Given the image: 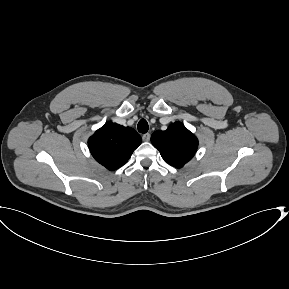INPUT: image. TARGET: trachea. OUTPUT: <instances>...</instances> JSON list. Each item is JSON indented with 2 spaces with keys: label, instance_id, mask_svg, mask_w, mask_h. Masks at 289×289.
<instances>
[{
  "label": "trachea",
  "instance_id": "obj_1",
  "mask_svg": "<svg viewBox=\"0 0 289 289\" xmlns=\"http://www.w3.org/2000/svg\"><path fill=\"white\" fill-rule=\"evenodd\" d=\"M137 128H138V131H139L140 133H147L148 128H149L147 121H146L145 119H141V120L138 122Z\"/></svg>",
  "mask_w": 289,
  "mask_h": 289
}]
</instances>
